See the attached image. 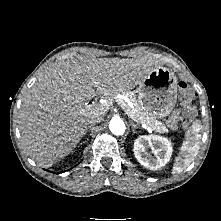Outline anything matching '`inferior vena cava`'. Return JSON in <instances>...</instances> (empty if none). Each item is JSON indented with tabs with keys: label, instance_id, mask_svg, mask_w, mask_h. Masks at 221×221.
<instances>
[{
	"label": "inferior vena cava",
	"instance_id": "1",
	"mask_svg": "<svg viewBox=\"0 0 221 221\" xmlns=\"http://www.w3.org/2000/svg\"><path fill=\"white\" fill-rule=\"evenodd\" d=\"M102 121V117L100 115H97L95 117H92L90 120H89V123L90 124H95V123H100Z\"/></svg>",
	"mask_w": 221,
	"mask_h": 221
}]
</instances>
